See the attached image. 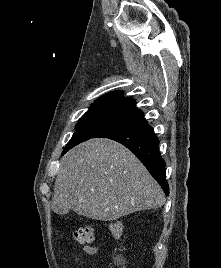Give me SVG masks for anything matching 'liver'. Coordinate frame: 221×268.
Returning a JSON list of instances; mask_svg holds the SVG:
<instances>
[{"instance_id": "1", "label": "liver", "mask_w": 221, "mask_h": 268, "mask_svg": "<svg viewBox=\"0 0 221 268\" xmlns=\"http://www.w3.org/2000/svg\"><path fill=\"white\" fill-rule=\"evenodd\" d=\"M52 209L113 221L130 213L158 208L166 199L144 165L123 145L90 139L62 159Z\"/></svg>"}]
</instances>
